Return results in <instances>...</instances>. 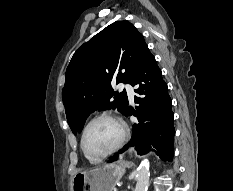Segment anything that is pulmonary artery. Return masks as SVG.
<instances>
[{"label":"pulmonary artery","mask_w":233,"mask_h":191,"mask_svg":"<svg viewBox=\"0 0 233 191\" xmlns=\"http://www.w3.org/2000/svg\"><path fill=\"white\" fill-rule=\"evenodd\" d=\"M120 87H121V89L126 90V92L128 94V97H129V100L133 101V99H134V90H133L132 86L129 85V84H121Z\"/></svg>","instance_id":"obj_1"}]
</instances>
